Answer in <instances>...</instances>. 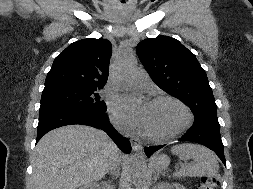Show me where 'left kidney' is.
<instances>
[{
  "instance_id": "5707ae66",
  "label": "left kidney",
  "mask_w": 253,
  "mask_h": 189,
  "mask_svg": "<svg viewBox=\"0 0 253 189\" xmlns=\"http://www.w3.org/2000/svg\"><path fill=\"white\" fill-rule=\"evenodd\" d=\"M173 187L175 189H186L183 185H180V184L170 185L164 182L157 184L154 189H173Z\"/></svg>"
}]
</instances>
